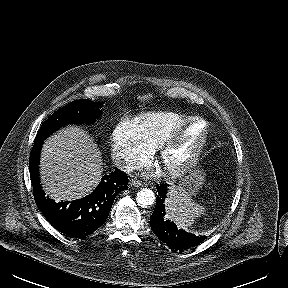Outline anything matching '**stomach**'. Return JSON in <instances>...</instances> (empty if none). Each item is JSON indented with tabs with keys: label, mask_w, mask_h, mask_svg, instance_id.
Segmentation results:
<instances>
[{
	"label": "stomach",
	"mask_w": 288,
	"mask_h": 288,
	"mask_svg": "<svg viewBox=\"0 0 288 288\" xmlns=\"http://www.w3.org/2000/svg\"><path fill=\"white\" fill-rule=\"evenodd\" d=\"M205 182V173L200 167H197L187 175H185L177 185H174L172 188L178 194H185L189 197H192L197 194L199 189Z\"/></svg>",
	"instance_id": "1"
}]
</instances>
